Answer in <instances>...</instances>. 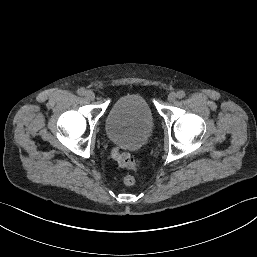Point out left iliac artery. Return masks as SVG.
I'll return each mask as SVG.
<instances>
[{"mask_svg": "<svg viewBox=\"0 0 257 257\" xmlns=\"http://www.w3.org/2000/svg\"><path fill=\"white\" fill-rule=\"evenodd\" d=\"M177 97H178L179 99L184 98V97H185V92L182 91V90L178 91V92H177Z\"/></svg>", "mask_w": 257, "mask_h": 257, "instance_id": "1", "label": "left iliac artery"}]
</instances>
